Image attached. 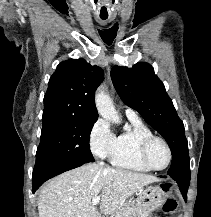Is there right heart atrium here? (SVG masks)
<instances>
[{"instance_id": "obj_1", "label": "right heart atrium", "mask_w": 211, "mask_h": 217, "mask_svg": "<svg viewBox=\"0 0 211 217\" xmlns=\"http://www.w3.org/2000/svg\"><path fill=\"white\" fill-rule=\"evenodd\" d=\"M116 142V135L109 124L98 119L89 133V144L92 152L100 158H110Z\"/></svg>"}]
</instances>
